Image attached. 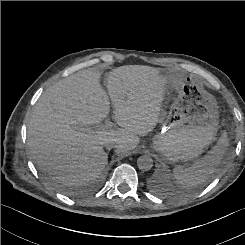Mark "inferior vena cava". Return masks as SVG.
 <instances>
[{
    "label": "inferior vena cava",
    "mask_w": 245,
    "mask_h": 245,
    "mask_svg": "<svg viewBox=\"0 0 245 245\" xmlns=\"http://www.w3.org/2000/svg\"><path fill=\"white\" fill-rule=\"evenodd\" d=\"M104 146L107 148V149H111L113 147H115V144L113 142H105L104 143Z\"/></svg>",
    "instance_id": "inferior-vena-cava-1"
}]
</instances>
